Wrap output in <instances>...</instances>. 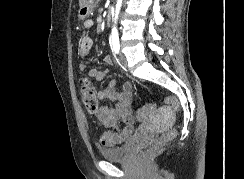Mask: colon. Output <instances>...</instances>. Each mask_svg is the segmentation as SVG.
I'll return each instance as SVG.
<instances>
[{"label":"colon","instance_id":"5ec220e1","mask_svg":"<svg viewBox=\"0 0 244 179\" xmlns=\"http://www.w3.org/2000/svg\"><path fill=\"white\" fill-rule=\"evenodd\" d=\"M80 95L86 110L88 113L93 114L97 110L95 102V86L92 81L85 80L80 88ZM165 104L168 107L175 109L178 106V99L175 96H166ZM156 104L153 101H146L145 107H138L139 118L136 119L137 123H146L147 119H150V112H154ZM171 133H165V137H159V142H155V147H151L147 151L146 157L150 158L151 155H156L157 152H161V147H166V142H171V138H176V132L174 128L170 129Z\"/></svg>","mask_w":244,"mask_h":179}]
</instances>
